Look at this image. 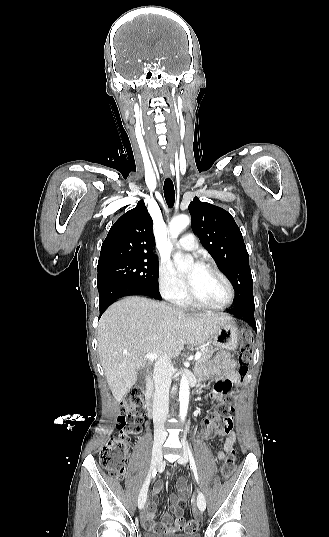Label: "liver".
Wrapping results in <instances>:
<instances>
[{"instance_id":"liver-1","label":"liver","mask_w":329,"mask_h":537,"mask_svg":"<svg viewBox=\"0 0 329 537\" xmlns=\"http://www.w3.org/2000/svg\"><path fill=\"white\" fill-rule=\"evenodd\" d=\"M231 318L223 314L188 316L165 303L130 296L112 304L98 324V354L116 401L136 382L148 353L178 356L185 344L205 343ZM127 352V354H125Z\"/></svg>"}]
</instances>
